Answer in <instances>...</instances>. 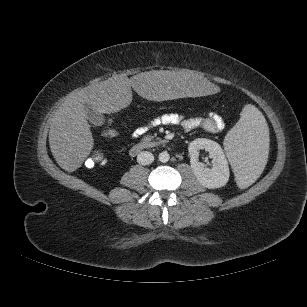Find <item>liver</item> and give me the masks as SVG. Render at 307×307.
Returning a JSON list of instances; mask_svg holds the SVG:
<instances>
[{
	"label": "liver",
	"mask_w": 307,
	"mask_h": 307,
	"mask_svg": "<svg viewBox=\"0 0 307 307\" xmlns=\"http://www.w3.org/2000/svg\"><path fill=\"white\" fill-rule=\"evenodd\" d=\"M131 87L143 98L163 101L181 96L210 98L214 85L192 71H149L127 77L109 78L76 90L51 118L49 144L58 165L68 172L81 167L90 154L94 139L87 122L86 106L99 113H114L132 100Z\"/></svg>",
	"instance_id": "liver-1"
}]
</instances>
